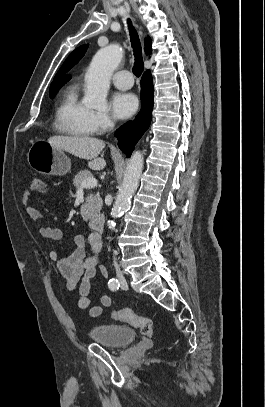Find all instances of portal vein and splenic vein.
<instances>
[{
  "label": "portal vein and splenic vein",
  "instance_id": "18ae733b",
  "mask_svg": "<svg viewBox=\"0 0 265 407\" xmlns=\"http://www.w3.org/2000/svg\"><path fill=\"white\" fill-rule=\"evenodd\" d=\"M96 186L97 180L95 178L86 179L81 184V188H94Z\"/></svg>",
  "mask_w": 265,
  "mask_h": 407
}]
</instances>
